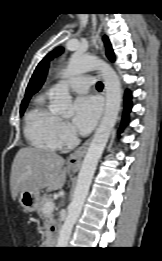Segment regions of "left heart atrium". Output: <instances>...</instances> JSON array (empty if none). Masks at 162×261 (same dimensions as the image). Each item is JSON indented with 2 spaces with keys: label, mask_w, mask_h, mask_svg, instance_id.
I'll list each match as a JSON object with an SVG mask.
<instances>
[{
  "label": "left heart atrium",
  "mask_w": 162,
  "mask_h": 261,
  "mask_svg": "<svg viewBox=\"0 0 162 261\" xmlns=\"http://www.w3.org/2000/svg\"><path fill=\"white\" fill-rule=\"evenodd\" d=\"M100 103L93 96H81L74 102L73 126L82 134L90 132L99 117Z\"/></svg>",
  "instance_id": "1"
}]
</instances>
